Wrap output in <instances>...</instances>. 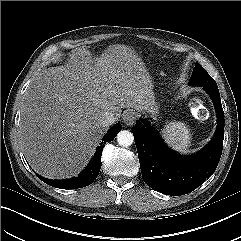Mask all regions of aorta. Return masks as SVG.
Returning <instances> with one entry per match:
<instances>
[{"instance_id":"762f6f07","label":"aorta","mask_w":241,"mask_h":241,"mask_svg":"<svg viewBox=\"0 0 241 241\" xmlns=\"http://www.w3.org/2000/svg\"><path fill=\"white\" fill-rule=\"evenodd\" d=\"M117 142L120 146L128 147L133 144V134L128 130H122L117 135Z\"/></svg>"}]
</instances>
